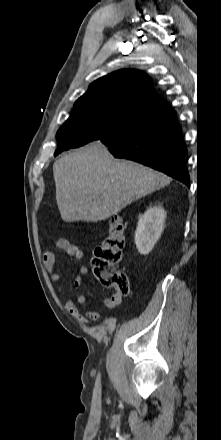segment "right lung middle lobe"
<instances>
[{"label":"right lung middle lobe","mask_w":221,"mask_h":440,"mask_svg":"<svg viewBox=\"0 0 221 440\" xmlns=\"http://www.w3.org/2000/svg\"><path fill=\"white\" fill-rule=\"evenodd\" d=\"M134 112L109 101L76 102L73 113L57 132L59 145L54 156L99 140Z\"/></svg>","instance_id":"1"}]
</instances>
